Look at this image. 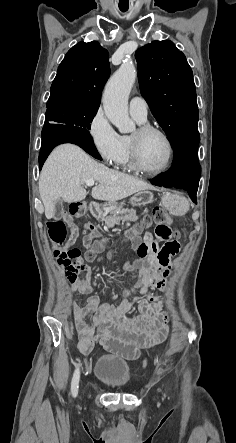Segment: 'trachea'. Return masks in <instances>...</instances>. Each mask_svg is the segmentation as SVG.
Returning a JSON list of instances; mask_svg holds the SVG:
<instances>
[{"instance_id": "1", "label": "trachea", "mask_w": 236, "mask_h": 443, "mask_svg": "<svg viewBox=\"0 0 236 443\" xmlns=\"http://www.w3.org/2000/svg\"><path fill=\"white\" fill-rule=\"evenodd\" d=\"M121 11H122V12H125V11H127V9H121Z\"/></svg>"}]
</instances>
